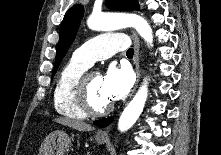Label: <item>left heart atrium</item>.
I'll list each match as a JSON object with an SVG mask.
<instances>
[{
    "mask_svg": "<svg viewBox=\"0 0 221 155\" xmlns=\"http://www.w3.org/2000/svg\"><path fill=\"white\" fill-rule=\"evenodd\" d=\"M132 85V75L125 68L110 66L102 76V87L110 101L119 100L126 96Z\"/></svg>",
    "mask_w": 221,
    "mask_h": 155,
    "instance_id": "1",
    "label": "left heart atrium"
}]
</instances>
